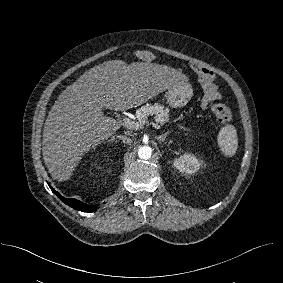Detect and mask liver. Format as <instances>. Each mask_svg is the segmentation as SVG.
<instances>
[{
	"label": "liver",
	"mask_w": 283,
	"mask_h": 283,
	"mask_svg": "<svg viewBox=\"0 0 283 283\" xmlns=\"http://www.w3.org/2000/svg\"><path fill=\"white\" fill-rule=\"evenodd\" d=\"M181 79L180 72L166 65H127L122 60L86 71L59 95L45 121L42 152L52 178L69 179L86 152L120 129V123L104 116L103 108L140 106Z\"/></svg>",
	"instance_id": "1"
}]
</instances>
